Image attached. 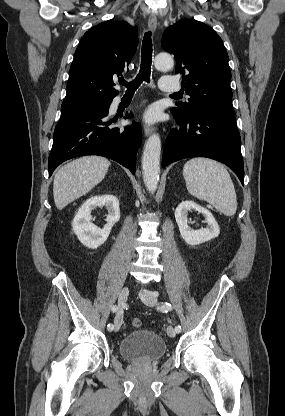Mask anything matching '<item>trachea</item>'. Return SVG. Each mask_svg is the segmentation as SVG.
Listing matches in <instances>:
<instances>
[{
  "label": "trachea",
  "instance_id": "trachea-1",
  "mask_svg": "<svg viewBox=\"0 0 285 416\" xmlns=\"http://www.w3.org/2000/svg\"><path fill=\"white\" fill-rule=\"evenodd\" d=\"M151 32L144 35L141 50V66L138 75L132 82H126L124 78L119 79L121 85L126 86L127 92H135L143 81H150L151 64H152V39ZM174 96V94L172 95Z\"/></svg>",
  "mask_w": 285,
  "mask_h": 416
}]
</instances>
